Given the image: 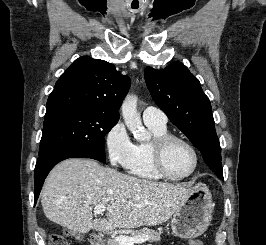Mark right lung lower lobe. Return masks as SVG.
Segmentation results:
<instances>
[{
    "label": "right lung lower lobe",
    "instance_id": "right-lung-lower-lobe-1",
    "mask_svg": "<svg viewBox=\"0 0 266 245\" xmlns=\"http://www.w3.org/2000/svg\"><path fill=\"white\" fill-rule=\"evenodd\" d=\"M68 158H91L93 155L74 150H55L38 158L34 172V205L39 197L44 180L50 170L60 161Z\"/></svg>",
    "mask_w": 266,
    "mask_h": 245
}]
</instances>
